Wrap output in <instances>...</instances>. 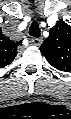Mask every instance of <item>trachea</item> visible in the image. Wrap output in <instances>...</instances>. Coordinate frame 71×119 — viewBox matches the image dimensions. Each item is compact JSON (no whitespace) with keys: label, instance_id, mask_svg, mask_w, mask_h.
I'll return each instance as SVG.
<instances>
[{"label":"trachea","instance_id":"3493384b","mask_svg":"<svg viewBox=\"0 0 71 119\" xmlns=\"http://www.w3.org/2000/svg\"><path fill=\"white\" fill-rule=\"evenodd\" d=\"M29 34L36 38L40 37V28L36 21L32 22L31 27L29 29Z\"/></svg>","mask_w":71,"mask_h":119}]
</instances>
